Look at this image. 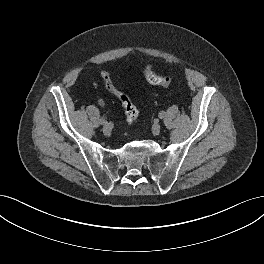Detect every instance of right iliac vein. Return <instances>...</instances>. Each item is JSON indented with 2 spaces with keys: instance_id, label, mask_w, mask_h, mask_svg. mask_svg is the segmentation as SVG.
<instances>
[{
  "instance_id": "1",
  "label": "right iliac vein",
  "mask_w": 264,
  "mask_h": 264,
  "mask_svg": "<svg viewBox=\"0 0 264 264\" xmlns=\"http://www.w3.org/2000/svg\"><path fill=\"white\" fill-rule=\"evenodd\" d=\"M103 130H104L105 132H107V131L109 130V124H108L107 122H105V123L103 124Z\"/></svg>"
}]
</instances>
